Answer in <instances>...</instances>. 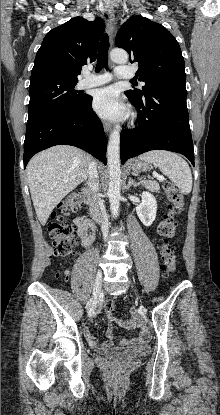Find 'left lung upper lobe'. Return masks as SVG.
I'll list each match as a JSON object with an SVG mask.
<instances>
[{"mask_svg":"<svg viewBox=\"0 0 220 415\" xmlns=\"http://www.w3.org/2000/svg\"><path fill=\"white\" fill-rule=\"evenodd\" d=\"M115 43L129 53L131 63L138 62L136 76L146 84L142 90H129L133 97L143 98L156 84L186 82L180 46L162 25L132 16L120 27Z\"/></svg>","mask_w":220,"mask_h":415,"instance_id":"5c2ea615","label":"left lung upper lobe"}]
</instances>
